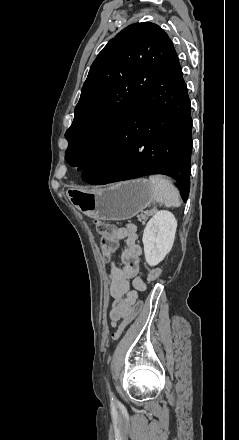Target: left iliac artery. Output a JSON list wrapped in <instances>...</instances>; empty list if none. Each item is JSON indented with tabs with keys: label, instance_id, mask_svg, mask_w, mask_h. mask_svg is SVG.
<instances>
[{
	"label": "left iliac artery",
	"instance_id": "44dca946",
	"mask_svg": "<svg viewBox=\"0 0 239 440\" xmlns=\"http://www.w3.org/2000/svg\"><path fill=\"white\" fill-rule=\"evenodd\" d=\"M110 396H111V401L112 402L115 401V398H114L113 394L111 393V391H110Z\"/></svg>",
	"mask_w": 239,
	"mask_h": 440
}]
</instances>
